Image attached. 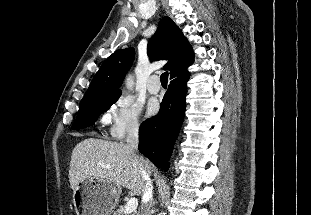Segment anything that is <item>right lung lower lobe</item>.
<instances>
[{
  "label": "right lung lower lobe",
  "instance_id": "right-lung-lower-lobe-1",
  "mask_svg": "<svg viewBox=\"0 0 311 215\" xmlns=\"http://www.w3.org/2000/svg\"><path fill=\"white\" fill-rule=\"evenodd\" d=\"M170 79L159 113L145 120L139 130V151L165 171L184 119L189 72L185 70Z\"/></svg>",
  "mask_w": 311,
  "mask_h": 215
}]
</instances>
